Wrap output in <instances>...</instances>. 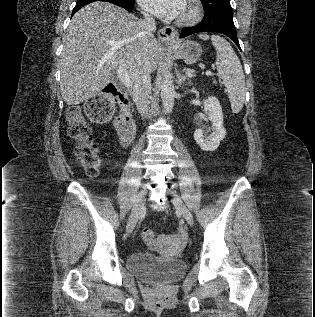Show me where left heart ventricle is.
<instances>
[{"label": "left heart ventricle", "instance_id": "left-heart-ventricle-1", "mask_svg": "<svg viewBox=\"0 0 315 317\" xmlns=\"http://www.w3.org/2000/svg\"><path fill=\"white\" fill-rule=\"evenodd\" d=\"M186 13H187V5L185 4V7H184V9L182 10L180 16H182V15H184V14H186Z\"/></svg>", "mask_w": 315, "mask_h": 317}]
</instances>
